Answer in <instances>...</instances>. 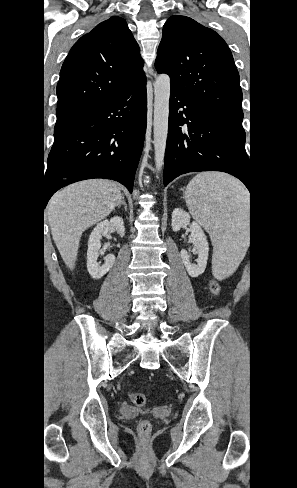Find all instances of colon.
I'll use <instances>...</instances> for the list:
<instances>
[{"label": "colon", "mask_w": 297, "mask_h": 488, "mask_svg": "<svg viewBox=\"0 0 297 488\" xmlns=\"http://www.w3.org/2000/svg\"><path fill=\"white\" fill-rule=\"evenodd\" d=\"M210 290L215 295H218L219 294V292H220V286H219V284L215 280H212L210 282ZM129 396H130L131 401L136 406H139V407L140 406H144L147 403V398L142 393L135 392V391H131L129 393ZM150 429H151V424H150V422L148 420H143L140 423L139 430H140L141 433L147 434V433H149Z\"/></svg>", "instance_id": "obj_1"}]
</instances>
